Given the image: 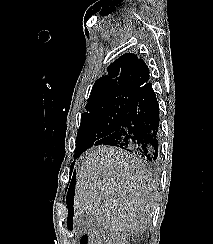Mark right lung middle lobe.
Instances as JSON below:
<instances>
[{
  "label": "right lung middle lobe",
  "mask_w": 213,
  "mask_h": 244,
  "mask_svg": "<svg viewBox=\"0 0 213 244\" xmlns=\"http://www.w3.org/2000/svg\"><path fill=\"white\" fill-rule=\"evenodd\" d=\"M135 97L120 94L88 102L87 112L81 116L74 157L77 158L96 141L113 133L128 113Z\"/></svg>",
  "instance_id": "right-lung-middle-lobe-1"
}]
</instances>
